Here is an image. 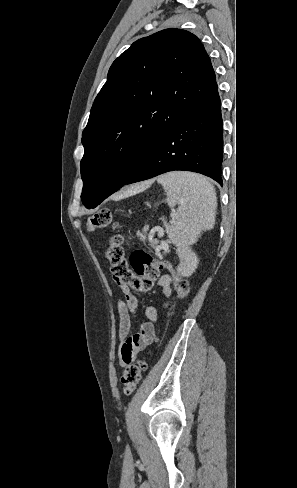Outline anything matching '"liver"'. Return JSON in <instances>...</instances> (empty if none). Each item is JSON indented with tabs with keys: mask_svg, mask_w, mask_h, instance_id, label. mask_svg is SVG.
Wrapping results in <instances>:
<instances>
[{
	"mask_svg": "<svg viewBox=\"0 0 297 488\" xmlns=\"http://www.w3.org/2000/svg\"><path fill=\"white\" fill-rule=\"evenodd\" d=\"M150 185V183H142L136 187V189H145Z\"/></svg>",
	"mask_w": 297,
	"mask_h": 488,
	"instance_id": "1",
	"label": "liver"
}]
</instances>
